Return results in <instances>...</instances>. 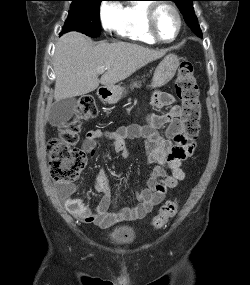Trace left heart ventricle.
Returning <instances> with one entry per match:
<instances>
[{
    "label": "left heart ventricle",
    "instance_id": "left-heart-ventricle-1",
    "mask_svg": "<svg viewBox=\"0 0 250 285\" xmlns=\"http://www.w3.org/2000/svg\"><path fill=\"white\" fill-rule=\"evenodd\" d=\"M178 29V22L175 14L168 8L162 7L156 16V30L164 39L174 37Z\"/></svg>",
    "mask_w": 250,
    "mask_h": 285
}]
</instances>
